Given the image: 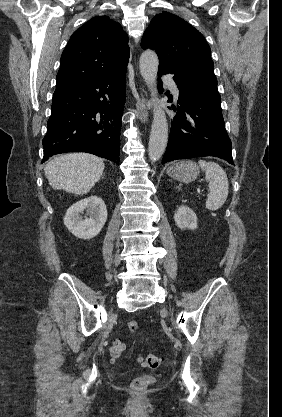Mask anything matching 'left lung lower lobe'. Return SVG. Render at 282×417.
I'll return each mask as SVG.
<instances>
[{"label": "left lung lower lobe", "instance_id": "1", "mask_svg": "<svg viewBox=\"0 0 282 417\" xmlns=\"http://www.w3.org/2000/svg\"><path fill=\"white\" fill-rule=\"evenodd\" d=\"M174 74L179 98L177 114L171 123L170 138L162 164L176 159L214 156L234 165L232 144L222 116L217 79L208 72L173 73L158 70V89L163 91L160 76ZM172 101V96H168Z\"/></svg>", "mask_w": 282, "mask_h": 417}]
</instances>
